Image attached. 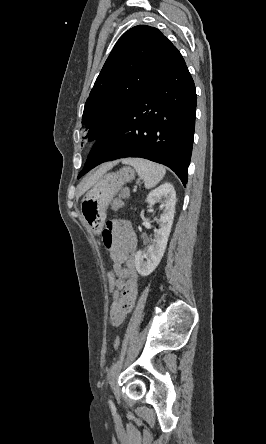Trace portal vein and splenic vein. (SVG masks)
<instances>
[{
  "label": "portal vein and splenic vein",
  "mask_w": 266,
  "mask_h": 444,
  "mask_svg": "<svg viewBox=\"0 0 266 444\" xmlns=\"http://www.w3.org/2000/svg\"><path fill=\"white\" fill-rule=\"evenodd\" d=\"M133 191H134V192H136L137 190H136V189H134Z\"/></svg>",
  "instance_id": "obj_1"
}]
</instances>
